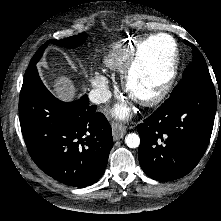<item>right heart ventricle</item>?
Wrapping results in <instances>:
<instances>
[{"label": "right heart ventricle", "instance_id": "right-heart-ventricle-1", "mask_svg": "<svg viewBox=\"0 0 221 221\" xmlns=\"http://www.w3.org/2000/svg\"><path fill=\"white\" fill-rule=\"evenodd\" d=\"M141 39V37H132L112 44L103 56V71L106 73H121Z\"/></svg>", "mask_w": 221, "mask_h": 221}]
</instances>
